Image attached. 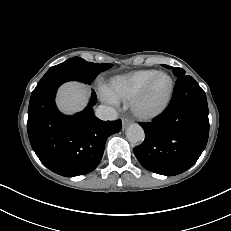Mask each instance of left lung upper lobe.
<instances>
[{
    "mask_svg": "<svg viewBox=\"0 0 231 231\" xmlns=\"http://www.w3.org/2000/svg\"><path fill=\"white\" fill-rule=\"evenodd\" d=\"M165 67H168L167 65H164ZM169 68V67H168ZM173 74L176 76V77H182L185 75V71L181 68H174L173 69Z\"/></svg>",
    "mask_w": 231,
    "mask_h": 231,
    "instance_id": "obj_1",
    "label": "left lung upper lobe"
}]
</instances>
